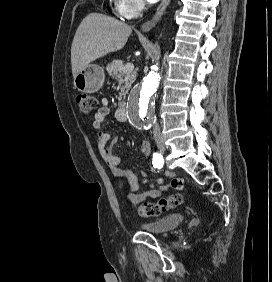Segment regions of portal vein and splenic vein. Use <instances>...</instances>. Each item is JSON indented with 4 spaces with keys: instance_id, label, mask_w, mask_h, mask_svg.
<instances>
[{
    "instance_id": "portal-vein-and-splenic-vein-1",
    "label": "portal vein and splenic vein",
    "mask_w": 272,
    "mask_h": 282,
    "mask_svg": "<svg viewBox=\"0 0 272 282\" xmlns=\"http://www.w3.org/2000/svg\"><path fill=\"white\" fill-rule=\"evenodd\" d=\"M134 70V64L133 63H127L125 67L123 68V72L133 71Z\"/></svg>"
}]
</instances>
